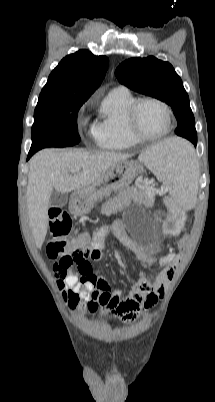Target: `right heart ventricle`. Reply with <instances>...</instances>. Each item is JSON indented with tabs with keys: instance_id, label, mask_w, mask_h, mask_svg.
Returning <instances> with one entry per match:
<instances>
[{
	"instance_id": "e07e8e85",
	"label": "right heart ventricle",
	"mask_w": 215,
	"mask_h": 402,
	"mask_svg": "<svg viewBox=\"0 0 215 402\" xmlns=\"http://www.w3.org/2000/svg\"><path fill=\"white\" fill-rule=\"evenodd\" d=\"M136 99L125 88H115L104 98L94 125V137L100 148L126 150L141 142L131 135L127 126V112Z\"/></svg>"
}]
</instances>
